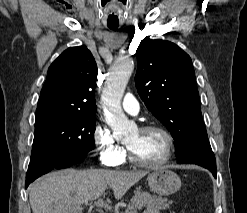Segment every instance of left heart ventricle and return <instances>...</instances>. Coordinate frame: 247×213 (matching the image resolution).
Listing matches in <instances>:
<instances>
[{
  "mask_svg": "<svg viewBox=\"0 0 247 213\" xmlns=\"http://www.w3.org/2000/svg\"><path fill=\"white\" fill-rule=\"evenodd\" d=\"M137 158L154 163L161 160L166 151L165 139L157 131L140 132L136 130L126 141Z\"/></svg>",
  "mask_w": 247,
  "mask_h": 213,
  "instance_id": "b2bd125f",
  "label": "left heart ventricle"
}]
</instances>
